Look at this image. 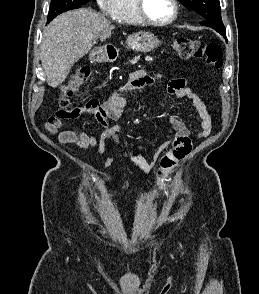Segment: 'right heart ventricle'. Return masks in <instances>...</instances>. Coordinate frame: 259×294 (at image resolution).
Returning a JSON list of instances; mask_svg holds the SVG:
<instances>
[{"label":"right heart ventricle","mask_w":259,"mask_h":294,"mask_svg":"<svg viewBox=\"0 0 259 294\" xmlns=\"http://www.w3.org/2000/svg\"><path fill=\"white\" fill-rule=\"evenodd\" d=\"M113 18L119 22L130 25L143 23L135 8V0H119Z\"/></svg>","instance_id":"right-heart-ventricle-1"}]
</instances>
